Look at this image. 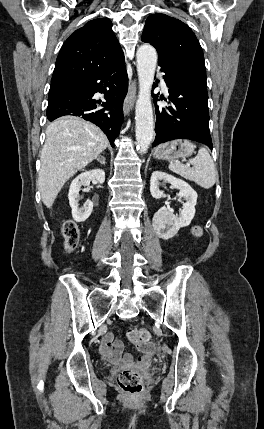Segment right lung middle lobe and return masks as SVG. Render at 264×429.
Listing matches in <instances>:
<instances>
[{
	"instance_id": "right-lung-middle-lobe-1",
	"label": "right lung middle lobe",
	"mask_w": 264,
	"mask_h": 429,
	"mask_svg": "<svg viewBox=\"0 0 264 429\" xmlns=\"http://www.w3.org/2000/svg\"><path fill=\"white\" fill-rule=\"evenodd\" d=\"M69 86L65 87H57V88H50L48 100L56 96L57 94L65 91Z\"/></svg>"
}]
</instances>
